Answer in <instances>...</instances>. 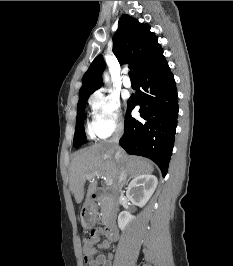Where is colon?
Returning <instances> with one entry per match:
<instances>
[{"label": "colon", "instance_id": "obj_1", "mask_svg": "<svg viewBox=\"0 0 233 266\" xmlns=\"http://www.w3.org/2000/svg\"><path fill=\"white\" fill-rule=\"evenodd\" d=\"M101 232L99 230H93L86 238V241L89 243H96L99 241Z\"/></svg>", "mask_w": 233, "mask_h": 266}]
</instances>
